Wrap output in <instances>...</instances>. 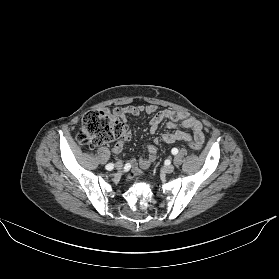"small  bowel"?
<instances>
[{"mask_svg":"<svg viewBox=\"0 0 279 279\" xmlns=\"http://www.w3.org/2000/svg\"><path fill=\"white\" fill-rule=\"evenodd\" d=\"M121 117L138 116L142 113L152 115L149 126L150 132L153 134L159 128L164 120H168L167 127L173 129L172 132H166L156 140L157 143L171 144L176 141L195 142L200 145L205 140L202 123L195 117L189 116L187 113L178 112L170 109L159 110L156 105L136 106L128 105L126 107L117 109L116 111ZM131 139V132L129 128H125L124 134L113 145L112 152L119 154L123 148L129 143ZM148 157H139L131 161V177L140 175L142 169H147L152 160L157 156V148L150 145L146 149Z\"/></svg>","mask_w":279,"mask_h":279,"instance_id":"obj_1","label":"small bowel"}]
</instances>
